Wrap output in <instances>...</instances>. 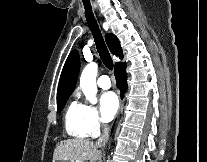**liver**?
<instances>
[{"mask_svg":"<svg viewBox=\"0 0 207 162\" xmlns=\"http://www.w3.org/2000/svg\"><path fill=\"white\" fill-rule=\"evenodd\" d=\"M93 141L87 139H67L56 145L53 162L61 161H90L101 160L102 152Z\"/></svg>","mask_w":207,"mask_h":162,"instance_id":"liver-1","label":"liver"}]
</instances>
